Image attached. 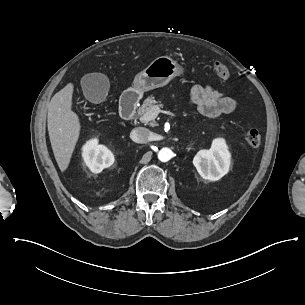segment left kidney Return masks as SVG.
<instances>
[{
	"label": "left kidney",
	"mask_w": 305,
	"mask_h": 305,
	"mask_svg": "<svg viewBox=\"0 0 305 305\" xmlns=\"http://www.w3.org/2000/svg\"><path fill=\"white\" fill-rule=\"evenodd\" d=\"M200 176L217 181L229 172L231 154L224 138H215L210 150H200L193 159Z\"/></svg>",
	"instance_id": "obj_1"
}]
</instances>
